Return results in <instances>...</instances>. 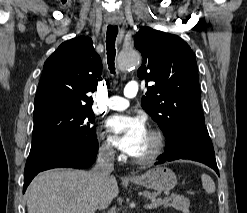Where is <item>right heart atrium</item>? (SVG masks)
<instances>
[{"label":"right heart atrium","mask_w":247,"mask_h":213,"mask_svg":"<svg viewBox=\"0 0 247 213\" xmlns=\"http://www.w3.org/2000/svg\"><path fill=\"white\" fill-rule=\"evenodd\" d=\"M99 153L105 158H114L115 150L109 138L104 133L101 134Z\"/></svg>","instance_id":"right-heart-atrium-1"}]
</instances>
